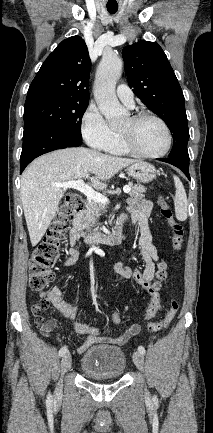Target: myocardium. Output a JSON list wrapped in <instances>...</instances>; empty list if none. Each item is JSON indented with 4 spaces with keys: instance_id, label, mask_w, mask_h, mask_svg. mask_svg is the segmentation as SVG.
I'll use <instances>...</instances> for the list:
<instances>
[{
    "instance_id": "1",
    "label": "myocardium",
    "mask_w": 213,
    "mask_h": 433,
    "mask_svg": "<svg viewBox=\"0 0 213 433\" xmlns=\"http://www.w3.org/2000/svg\"><path fill=\"white\" fill-rule=\"evenodd\" d=\"M130 119L132 122H139V121H142L145 119H151V120L158 122L165 131V134L167 137V143H166L165 149L159 153H154V154L145 153V152H142L141 150H139L135 146V144L133 143V141L131 140L129 135H127L124 132L119 131L118 134L120 137V141L128 153L133 154V155L138 156V157L149 158V159L161 158V157H164L165 155L168 154V152L170 151V149L172 147L173 137H172V133H171V130H170L168 124L161 117H159L153 113H150V112H138L136 114H133L130 117Z\"/></svg>"
}]
</instances>
